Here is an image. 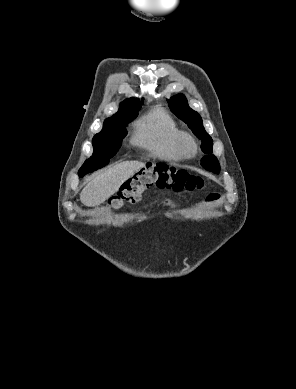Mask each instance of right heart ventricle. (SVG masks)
Here are the masks:
<instances>
[{
    "mask_svg": "<svg viewBox=\"0 0 296 389\" xmlns=\"http://www.w3.org/2000/svg\"><path fill=\"white\" fill-rule=\"evenodd\" d=\"M181 130L175 120L162 107H155L135 124L131 142L151 156L168 161H180L177 140Z\"/></svg>",
    "mask_w": 296,
    "mask_h": 389,
    "instance_id": "e07e8e85",
    "label": "right heart ventricle"
}]
</instances>
